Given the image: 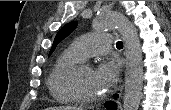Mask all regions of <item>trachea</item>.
Returning a JSON list of instances; mask_svg holds the SVG:
<instances>
[{
	"label": "trachea",
	"instance_id": "trachea-1",
	"mask_svg": "<svg viewBox=\"0 0 171 110\" xmlns=\"http://www.w3.org/2000/svg\"><path fill=\"white\" fill-rule=\"evenodd\" d=\"M116 47H117V48H123V43H122L121 41H118V42L116 43Z\"/></svg>",
	"mask_w": 171,
	"mask_h": 110
}]
</instances>
